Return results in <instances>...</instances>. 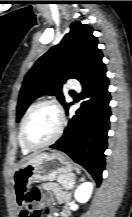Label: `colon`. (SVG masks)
Returning <instances> with one entry per match:
<instances>
[{
  "mask_svg": "<svg viewBox=\"0 0 132 217\" xmlns=\"http://www.w3.org/2000/svg\"><path fill=\"white\" fill-rule=\"evenodd\" d=\"M41 198V192L37 185H31L25 193V201L28 204L37 203ZM28 217H40V212L38 209H32Z\"/></svg>",
  "mask_w": 132,
  "mask_h": 217,
  "instance_id": "colon-1",
  "label": "colon"
}]
</instances>
